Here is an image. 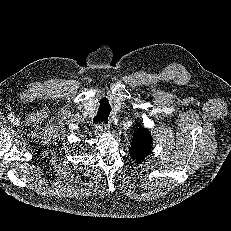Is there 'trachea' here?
Returning <instances> with one entry per match:
<instances>
[{
  "mask_svg": "<svg viewBox=\"0 0 231 231\" xmlns=\"http://www.w3.org/2000/svg\"><path fill=\"white\" fill-rule=\"evenodd\" d=\"M110 112L111 106L108 103V100L106 98L101 99L97 115L94 117L93 122L95 124L101 122L107 123Z\"/></svg>",
  "mask_w": 231,
  "mask_h": 231,
  "instance_id": "trachea-1",
  "label": "trachea"
}]
</instances>
